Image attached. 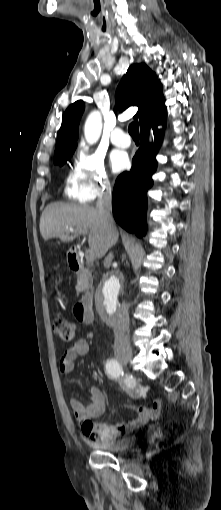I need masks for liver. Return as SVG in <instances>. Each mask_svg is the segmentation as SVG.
I'll use <instances>...</instances> for the list:
<instances>
[{
  "instance_id": "1",
  "label": "liver",
  "mask_w": 221,
  "mask_h": 510,
  "mask_svg": "<svg viewBox=\"0 0 221 510\" xmlns=\"http://www.w3.org/2000/svg\"><path fill=\"white\" fill-rule=\"evenodd\" d=\"M70 228L73 231H70ZM80 231L87 234L88 245L98 259L118 240V232L110 235L103 226L96 208L54 202L47 205L40 218V233L44 240L59 238L72 241Z\"/></svg>"
}]
</instances>
